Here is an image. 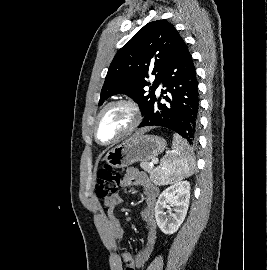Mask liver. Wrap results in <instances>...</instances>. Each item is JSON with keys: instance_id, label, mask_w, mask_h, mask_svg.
<instances>
[{"instance_id": "1", "label": "liver", "mask_w": 267, "mask_h": 270, "mask_svg": "<svg viewBox=\"0 0 267 270\" xmlns=\"http://www.w3.org/2000/svg\"><path fill=\"white\" fill-rule=\"evenodd\" d=\"M150 129H151V128H148V127L142 128L141 130L137 131V132L133 135L132 138L138 137V136L144 134L145 132H147V131L150 130Z\"/></svg>"}]
</instances>
